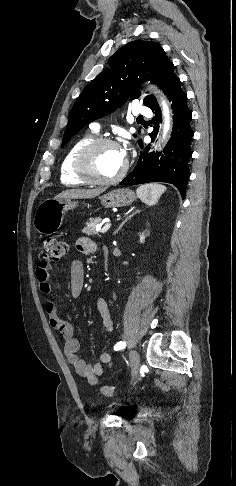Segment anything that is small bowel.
I'll use <instances>...</instances> for the list:
<instances>
[{
	"instance_id": "small-bowel-1",
	"label": "small bowel",
	"mask_w": 236,
	"mask_h": 486,
	"mask_svg": "<svg viewBox=\"0 0 236 486\" xmlns=\"http://www.w3.org/2000/svg\"><path fill=\"white\" fill-rule=\"evenodd\" d=\"M76 247L84 254H91L96 250L95 242L88 237L79 238ZM50 269L51 265L49 261L46 258H42L38 261L35 270L40 290L45 294H50L51 292L49 283ZM83 285L84 266L80 260L71 259L69 296L72 299L79 298L83 290ZM96 305L104 329L111 332L113 330V320L106 300L104 298H99ZM59 310L60 305L57 301L49 300L47 302L46 311L49 316L50 325L60 333L63 341L64 353L77 374L87 380L90 384L95 385L104 372L103 365H107L108 367L113 365V356L110 352H102L100 354V362L97 363H91L82 358L79 354L81 343L74 337V328L71 323L59 316Z\"/></svg>"
}]
</instances>
